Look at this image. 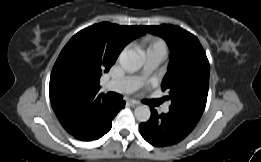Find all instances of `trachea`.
<instances>
[{"mask_svg": "<svg viewBox=\"0 0 261 162\" xmlns=\"http://www.w3.org/2000/svg\"><path fill=\"white\" fill-rule=\"evenodd\" d=\"M108 96L114 100H121L122 96L120 94L114 93V92H109Z\"/></svg>", "mask_w": 261, "mask_h": 162, "instance_id": "1", "label": "trachea"}]
</instances>
